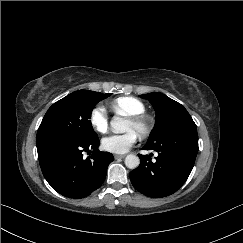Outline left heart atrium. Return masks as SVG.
<instances>
[{"label":"left heart atrium","instance_id":"left-heart-atrium-1","mask_svg":"<svg viewBox=\"0 0 243 243\" xmlns=\"http://www.w3.org/2000/svg\"><path fill=\"white\" fill-rule=\"evenodd\" d=\"M137 141V134L129 130L123 134H112L102 141L103 148L109 152L122 154L127 152Z\"/></svg>","mask_w":243,"mask_h":243}]
</instances>
